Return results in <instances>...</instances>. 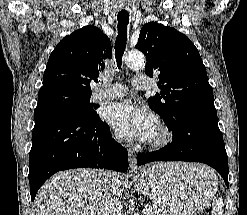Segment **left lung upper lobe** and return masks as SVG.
Listing matches in <instances>:
<instances>
[{
	"mask_svg": "<svg viewBox=\"0 0 247 215\" xmlns=\"http://www.w3.org/2000/svg\"><path fill=\"white\" fill-rule=\"evenodd\" d=\"M136 48L146 55L145 73L158 76L162 90L148 104L171 130L196 119L218 120L206 68L186 35L150 22L142 27Z\"/></svg>",
	"mask_w": 247,
	"mask_h": 215,
	"instance_id": "obj_1",
	"label": "left lung upper lobe"
}]
</instances>
